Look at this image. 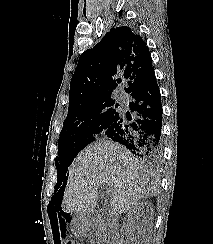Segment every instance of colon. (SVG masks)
Instances as JSON below:
<instances>
[{"instance_id":"obj_1","label":"colon","mask_w":213,"mask_h":244,"mask_svg":"<svg viewBox=\"0 0 213 244\" xmlns=\"http://www.w3.org/2000/svg\"><path fill=\"white\" fill-rule=\"evenodd\" d=\"M63 244H75V242L73 240H66Z\"/></svg>"}]
</instances>
